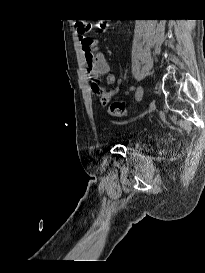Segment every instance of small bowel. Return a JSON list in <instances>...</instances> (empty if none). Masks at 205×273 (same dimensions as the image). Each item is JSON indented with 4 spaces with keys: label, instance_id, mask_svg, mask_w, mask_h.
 <instances>
[{
    "label": "small bowel",
    "instance_id": "1",
    "mask_svg": "<svg viewBox=\"0 0 205 273\" xmlns=\"http://www.w3.org/2000/svg\"><path fill=\"white\" fill-rule=\"evenodd\" d=\"M79 43L89 76L93 79L106 76L107 82L114 85L115 77L110 73V64L104 54L97 49V40L90 37H80ZM107 95L105 94V96Z\"/></svg>",
    "mask_w": 205,
    "mask_h": 273
}]
</instances>
